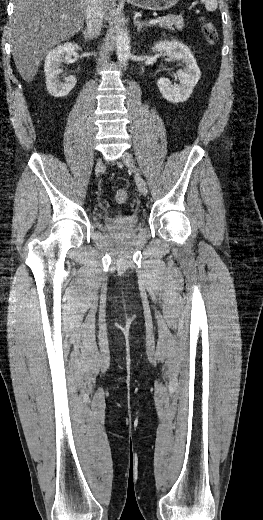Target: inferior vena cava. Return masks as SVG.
<instances>
[{
    "instance_id": "inferior-vena-cava-1",
    "label": "inferior vena cava",
    "mask_w": 263,
    "mask_h": 520,
    "mask_svg": "<svg viewBox=\"0 0 263 520\" xmlns=\"http://www.w3.org/2000/svg\"><path fill=\"white\" fill-rule=\"evenodd\" d=\"M103 0H87L86 24L91 38L99 35L103 24Z\"/></svg>"
}]
</instances>
